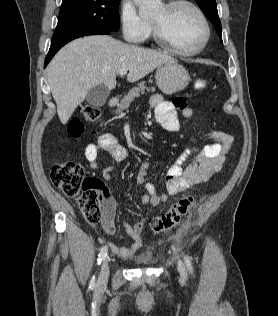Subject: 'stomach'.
<instances>
[{
	"label": "stomach",
	"instance_id": "stomach-1",
	"mask_svg": "<svg viewBox=\"0 0 278 316\" xmlns=\"http://www.w3.org/2000/svg\"><path fill=\"white\" fill-rule=\"evenodd\" d=\"M155 79L158 88L163 93L173 94L187 87L190 76L182 65L172 60L158 66Z\"/></svg>",
	"mask_w": 278,
	"mask_h": 316
}]
</instances>
